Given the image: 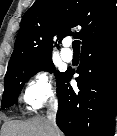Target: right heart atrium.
I'll return each mask as SVG.
<instances>
[{"label":"right heart atrium","instance_id":"1","mask_svg":"<svg viewBox=\"0 0 117 136\" xmlns=\"http://www.w3.org/2000/svg\"><path fill=\"white\" fill-rule=\"evenodd\" d=\"M55 86L52 76L45 69H38L28 81L24 90V100L33 107L39 108L54 97Z\"/></svg>","mask_w":117,"mask_h":136}]
</instances>
